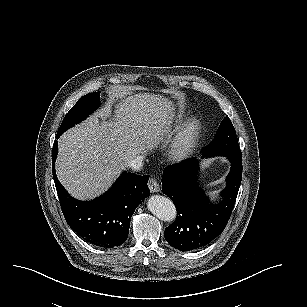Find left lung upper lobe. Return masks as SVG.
Wrapping results in <instances>:
<instances>
[{"instance_id": "obj_1", "label": "left lung upper lobe", "mask_w": 307, "mask_h": 307, "mask_svg": "<svg viewBox=\"0 0 307 307\" xmlns=\"http://www.w3.org/2000/svg\"><path fill=\"white\" fill-rule=\"evenodd\" d=\"M206 156H242L236 131L228 116L221 122L213 142L203 152Z\"/></svg>"}]
</instances>
